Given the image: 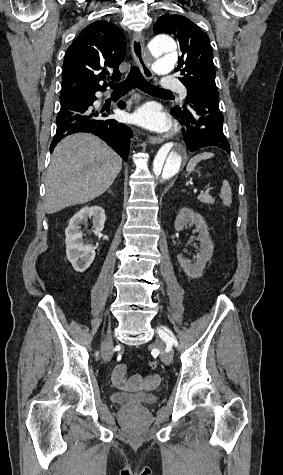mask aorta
<instances>
[{"instance_id":"1","label":"aorta","mask_w":283,"mask_h":475,"mask_svg":"<svg viewBox=\"0 0 283 475\" xmlns=\"http://www.w3.org/2000/svg\"><path fill=\"white\" fill-rule=\"evenodd\" d=\"M149 50L156 59L154 70L158 74H168L177 61L176 42L168 35H158L149 43ZM187 159V149L182 143L168 142L156 153L148 173L153 193L166 187L180 172Z\"/></svg>"}]
</instances>
